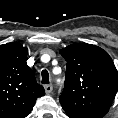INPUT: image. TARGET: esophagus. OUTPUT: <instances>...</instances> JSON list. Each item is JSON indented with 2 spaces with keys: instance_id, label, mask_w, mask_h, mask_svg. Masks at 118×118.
Wrapping results in <instances>:
<instances>
[{
  "instance_id": "1",
  "label": "esophagus",
  "mask_w": 118,
  "mask_h": 118,
  "mask_svg": "<svg viewBox=\"0 0 118 118\" xmlns=\"http://www.w3.org/2000/svg\"><path fill=\"white\" fill-rule=\"evenodd\" d=\"M44 89H45L46 94H49L52 92L53 86L51 84H47L44 86Z\"/></svg>"
}]
</instances>
